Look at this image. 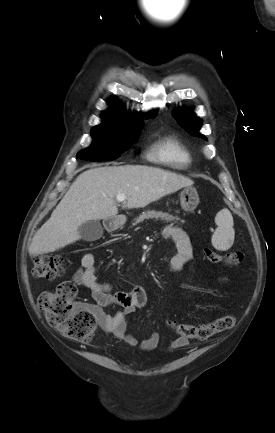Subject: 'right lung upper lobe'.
I'll use <instances>...</instances> for the list:
<instances>
[{
	"mask_svg": "<svg viewBox=\"0 0 275 433\" xmlns=\"http://www.w3.org/2000/svg\"><path fill=\"white\" fill-rule=\"evenodd\" d=\"M157 115V111H151L146 118H154ZM142 123L140 119L136 116L126 113L121 108L117 107L115 104H111V109L103 113V124L106 125H123V124H135Z\"/></svg>",
	"mask_w": 275,
	"mask_h": 433,
	"instance_id": "1",
	"label": "right lung upper lobe"
}]
</instances>
